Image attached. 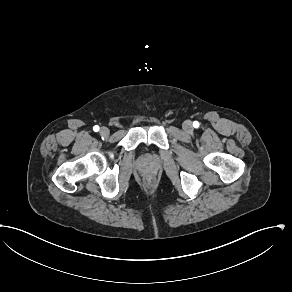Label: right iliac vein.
I'll return each mask as SVG.
<instances>
[{
  "label": "right iliac vein",
  "mask_w": 292,
  "mask_h": 292,
  "mask_svg": "<svg viewBox=\"0 0 292 292\" xmlns=\"http://www.w3.org/2000/svg\"><path fill=\"white\" fill-rule=\"evenodd\" d=\"M100 135L103 136V137H107L110 133L109 129L105 126L101 127L100 128Z\"/></svg>",
  "instance_id": "right-iliac-vein-1"
}]
</instances>
